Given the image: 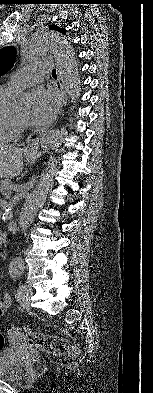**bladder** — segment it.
I'll return each mask as SVG.
<instances>
[{
	"mask_svg": "<svg viewBox=\"0 0 153 393\" xmlns=\"http://www.w3.org/2000/svg\"><path fill=\"white\" fill-rule=\"evenodd\" d=\"M16 357L17 354L14 349H6L0 352V379L17 382L22 378L24 370L17 362Z\"/></svg>",
	"mask_w": 153,
	"mask_h": 393,
	"instance_id": "bladder-1",
	"label": "bladder"
}]
</instances>
